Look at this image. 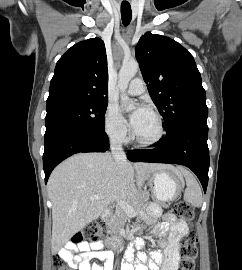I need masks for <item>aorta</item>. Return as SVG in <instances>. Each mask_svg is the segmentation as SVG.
I'll return each instance as SVG.
<instances>
[{
    "instance_id": "obj_1",
    "label": "aorta",
    "mask_w": 242,
    "mask_h": 270,
    "mask_svg": "<svg viewBox=\"0 0 242 270\" xmlns=\"http://www.w3.org/2000/svg\"><path fill=\"white\" fill-rule=\"evenodd\" d=\"M139 69L137 61L124 62L118 75V88L121 91V101L123 103L129 102V97L126 94V89L130 80L136 75Z\"/></svg>"
}]
</instances>
